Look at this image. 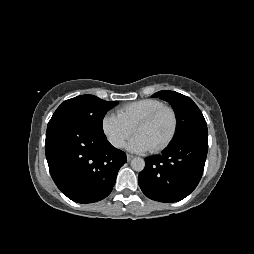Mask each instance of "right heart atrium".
I'll use <instances>...</instances> for the list:
<instances>
[{"mask_svg": "<svg viewBox=\"0 0 254 254\" xmlns=\"http://www.w3.org/2000/svg\"><path fill=\"white\" fill-rule=\"evenodd\" d=\"M101 129L109 143L115 148H122L134 132L132 126L124 122L117 114L110 112L103 117Z\"/></svg>", "mask_w": 254, "mask_h": 254, "instance_id": "obj_1", "label": "right heart atrium"}]
</instances>
